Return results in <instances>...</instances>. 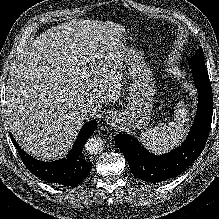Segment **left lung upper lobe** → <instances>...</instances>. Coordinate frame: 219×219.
<instances>
[{"instance_id":"obj_1","label":"left lung upper lobe","mask_w":219,"mask_h":219,"mask_svg":"<svg viewBox=\"0 0 219 219\" xmlns=\"http://www.w3.org/2000/svg\"><path fill=\"white\" fill-rule=\"evenodd\" d=\"M188 64L193 70H200V71H203V72H206V73L208 72L207 69H206V66H205V62H204L202 47H199L196 54L193 55L189 59Z\"/></svg>"}]
</instances>
